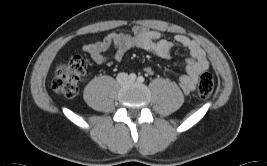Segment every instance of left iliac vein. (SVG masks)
<instances>
[{
    "mask_svg": "<svg viewBox=\"0 0 267 166\" xmlns=\"http://www.w3.org/2000/svg\"><path fill=\"white\" fill-rule=\"evenodd\" d=\"M129 82H130V83H134V82H135V80H130Z\"/></svg>",
    "mask_w": 267,
    "mask_h": 166,
    "instance_id": "4c4485c4",
    "label": "left iliac vein"
}]
</instances>
